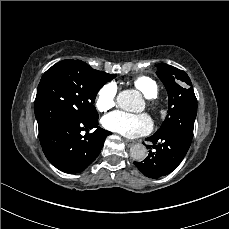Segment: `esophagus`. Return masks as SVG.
Segmentation results:
<instances>
[{
    "mask_svg": "<svg viewBox=\"0 0 229 229\" xmlns=\"http://www.w3.org/2000/svg\"><path fill=\"white\" fill-rule=\"evenodd\" d=\"M136 142L134 140H125V145L130 148L131 146H133Z\"/></svg>",
    "mask_w": 229,
    "mask_h": 229,
    "instance_id": "34e87169",
    "label": "esophagus"
}]
</instances>
